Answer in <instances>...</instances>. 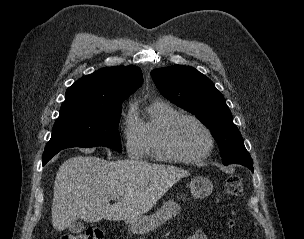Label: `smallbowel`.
<instances>
[{"mask_svg":"<svg viewBox=\"0 0 304 239\" xmlns=\"http://www.w3.org/2000/svg\"><path fill=\"white\" fill-rule=\"evenodd\" d=\"M187 239H207L206 235L202 231H197Z\"/></svg>","mask_w":304,"mask_h":239,"instance_id":"1","label":"small bowel"}]
</instances>
